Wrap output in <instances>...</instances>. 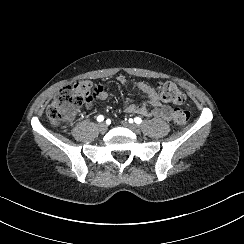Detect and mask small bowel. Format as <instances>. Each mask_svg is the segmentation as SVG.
Here are the masks:
<instances>
[{"label":"small bowel","instance_id":"1","mask_svg":"<svg viewBox=\"0 0 244 244\" xmlns=\"http://www.w3.org/2000/svg\"><path fill=\"white\" fill-rule=\"evenodd\" d=\"M117 79L118 82L123 85L129 83L123 75L118 76ZM131 84L140 95L146 98V100L143 105L127 104L124 108L127 113L138 114L144 117L162 118L164 120H169L171 118L173 113L172 108L162 100L161 96L150 84L142 81H134L131 82ZM95 95L96 99L99 101H106L110 96L108 84L105 82L100 83L96 88ZM148 105L151 108H148ZM87 107L92 109L93 102L89 101Z\"/></svg>","mask_w":244,"mask_h":244}]
</instances>
